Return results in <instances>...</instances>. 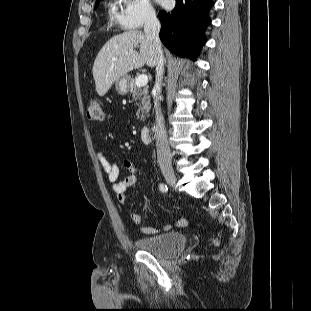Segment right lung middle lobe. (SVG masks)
Masks as SVG:
<instances>
[{
    "label": "right lung middle lobe",
    "instance_id": "dd1d6c3e",
    "mask_svg": "<svg viewBox=\"0 0 311 311\" xmlns=\"http://www.w3.org/2000/svg\"><path fill=\"white\" fill-rule=\"evenodd\" d=\"M99 2H100V0L96 1L95 8H97Z\"/></svg>",
    "mask_w": 311,
    "mask_h": 311
}]
</instances>
